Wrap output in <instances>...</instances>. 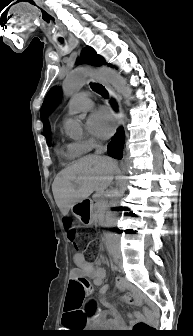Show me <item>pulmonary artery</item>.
I'll list each match as a JSON object with an SVG mask.
<instances>
[{
	"label": "pulmonary artery",
	"instance_id": "obj_1",
	"mask_svg": "<svg viewBox=\"0 0 193 336\" xmlns=\"http://www.w3.org/2000/svg\"><path fill=\"white\" fill-rule=\"evenodd\" d=\"M93 107V102L87 92H81L71 98L67 104V114L76 115L80 112L89 111Z\"/></svg>",
	"mask_w": 193,
	"mask_h": 336
}]
</instances>
